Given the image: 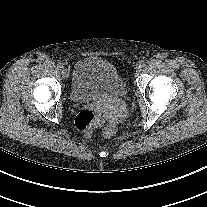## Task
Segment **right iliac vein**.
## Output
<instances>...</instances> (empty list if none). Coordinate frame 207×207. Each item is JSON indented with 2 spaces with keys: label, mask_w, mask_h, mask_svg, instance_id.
Masks as SVG:
<instances>
[{
  "label": "right iliac vein",
  "mask_w": 207,
  "mask_h": 207,
  "mask_svg": "<svg viewBox=\"0 0 207 207\" xmlns=\"http://www.w3.org/2000/svg\"><path fill=\"white\" fill-rule=\"evenodd\" d=\"M61 74H62L63 78H67L68 75H69V72L66 68H63L62 71H61Z\"/></svg>",
  "instance_id": "1"
}]
</instances>
